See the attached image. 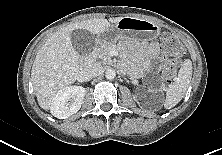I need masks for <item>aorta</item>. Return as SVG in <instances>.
I'll return each instance as SVG.
<instances>
[{"instance_id": "obj_1", "label": "aorta", "mask_w": 222, "mask_h": 155, "mask_svg": "<svg viewBox=\"0 0 222 155\" xmlns=\"http://www.w3.org/2000/svg\"><path fill=\"white\" fill-rule=\"evenodd\" d=\"M105 76H106V78H107L108 80H112V79L115 78L116 72H115L114 69L109 68V69L106 70Z\"/></svg>"}]
</instances>
